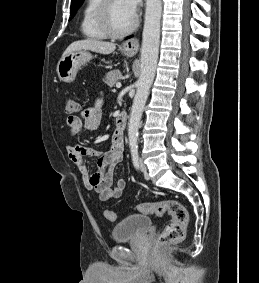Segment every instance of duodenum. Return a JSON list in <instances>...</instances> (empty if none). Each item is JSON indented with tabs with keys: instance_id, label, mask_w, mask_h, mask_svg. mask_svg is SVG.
Here are the masks:
<instances>
[{
	"instance_id": "1",
	"label": "duodenum",
	"mask_w": 259,
	"mask_h": 283,
	"mask_svg": "<svg viewBox=\"0 0 259 283\" xmlns=\"http://www.w3.org/2000/svg\"><path fill=\"white\" fill-rule=\"evenodd\" d=\"M127 126V115L121 113L115 122V132L118 134H123Z\"/></svg>"
}]
</instances>
